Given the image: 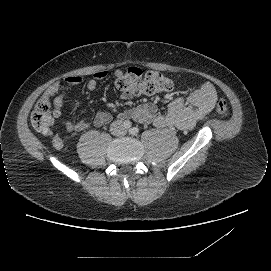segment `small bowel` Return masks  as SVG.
Returning a JSON list of instances; mask_svg holds the SVG:
<instances>
[{"instance_id": "1", "label": "small bowel", "mask_w": 271, "mask_h": 271, "mask_svg": "<svg viewBox=\"0 0 271 271\" xmlns=\"http://www.w3.org/2000/svg\"><path fill=\"white\" fill-rule=\"evenodd\" d=\"M117 80L123 75L121 70L115 71ZM107 76L106 71H98L94 74V78L86 81V87L89 91H94L97 82ZM85 80L81 76H69L65 78V83L69 85H79ZM61 83L54 82L45 92L43 97H51L55 94L54 105L56 108L63 107L66 91H60ZM132 94L122 92L121 98L124 100L131 99ZM217 102V93L214 85L206 82L202 87L185 97L173 99L167 107L166 113H159L154 104L148 103L137 108L126 110L119 114L120 119L132 118L140 123H153L157 127H174L181 130L191 129L195 124L210 113ZM112 115L106 111L97 112L93 124L97 127L103 126L110 122ZM64 127L70 132H79L90 126L86 120H79L75 123L65 120ZM55 147H60L62 141L59 136L53 138Z\"/></svg>"}]
</instances>
